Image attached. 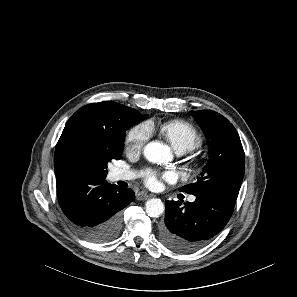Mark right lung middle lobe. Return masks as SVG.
<instances>
[{
    "label": "right lung middle lobe",
    "instance_id": "dd1d6c3e",
    "mask_svg": "<svg viewBox=\"0 0 297 297\" xmlns=\"http://www.w3.org/2000/svg\"><path fill=\"white\" fill-rule=\"evenodd\" d=\"M146 117L147 115H142L135 109L124 106L122 119L125 127L119 144L83 147L79 152L80 172L105 178L107 175V164L114 159L119 160L121 158L125 131Z\"/></svg>",
    "mask_w": 297,
    "mask_h": 297
}]
</instances>
